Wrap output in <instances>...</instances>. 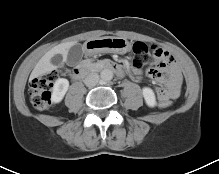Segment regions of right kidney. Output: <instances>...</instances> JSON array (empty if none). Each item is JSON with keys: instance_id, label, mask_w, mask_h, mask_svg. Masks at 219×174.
Segmentation results:
<instances>
[{"instance_id": "1", "label": "right kidney", "mask_w": 219, "mask_h": 174, "mask_svg": "<svg viewBox=\"0 0 219 174\" xmlns=\"http://www.w3.org/2000/svg\"><path fill=\"white\" fill-rule=\"evenodd\" d=\"M68 88H69V81L67 79L65 78L57 79L52 89L51 101L53 103L61 102Z\"/></svg>"}]
</instances>
